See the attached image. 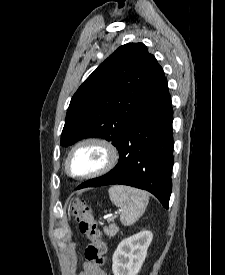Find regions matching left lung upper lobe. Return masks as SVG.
<instances>
[{"mask_svg":"<svg viewBox=\"0 0 225 275\" xmlns=\"http://www.w3.org/2000/svg\"><path fill=\"white\" fill-rule=\"evenodd\" d=\"M166 83L162 67L144 44L120 46L72 97L61 145L100 137L118 147L129 126Z\"/></svg>","mask_w":225,"mask_h":275,"instance_id":"left-lung-upper-lobe-1","label":"left lung upper lobe"}]
</instances>
